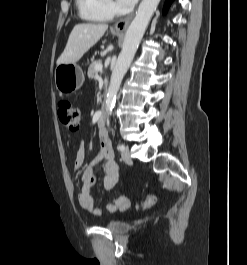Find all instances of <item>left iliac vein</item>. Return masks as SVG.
Listing matches in <instances>:
<instances>
[{
  "label": "left iliac vein",
  "instance_id": "1",
  "mask_svg": "<svg viewBox=\"0 0 247 265\" xmlns=\"http://www.w3.org/2000/svg\"><path fill=\"white\" fill-rule=\"evenodd\" d=\"M121 156L123 161L128 164L131 165L132 164V159L129 153V149L127 147H125L122 151H121Z\"/></svg>",
  "mask_w": 247,
  "mask_h": 265
}]
</instances>
